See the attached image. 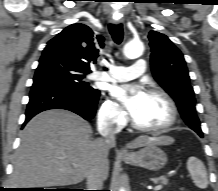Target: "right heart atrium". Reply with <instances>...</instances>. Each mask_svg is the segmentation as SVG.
<instances>
[{"instance_id":"d8ad5b80","label":"right heart atrium","mask_w":218,"mask_h":191,"mask_svg":"<svg viewBox=\"0 0 218 191\" xmlns=\"http://www.w3.org/2000/svg\"><path fill=\"white\" fill-rule=\"evenodd\" d=\"M126 119V114L118 103L109 98L103 102L99 110L101 123L112 128H119L125 124Z\"/></svg>"}]
</instances>
